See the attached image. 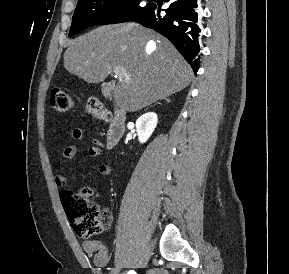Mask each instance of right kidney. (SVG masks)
I'll list each match as a JSON object with an SVG mask.
<instances>
[{
    "instance_id": "obj_1",
    "label": "right kidney",
    "mask_w": 289,
    "mask_h": 274,
    "mask_svg": "<svg viewBox=\"0 0 289 274\" xmlns=\"http://www.w3.org/2000/svg\"><path fill=\"white\" fill-rule=\"evenodd\" d=\"M158 117L154 112H148L140 116L136 121V131L140 143H145L153 133L157 125Z\"/></svg>"
}]
</instances>
